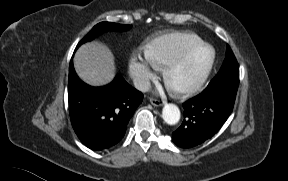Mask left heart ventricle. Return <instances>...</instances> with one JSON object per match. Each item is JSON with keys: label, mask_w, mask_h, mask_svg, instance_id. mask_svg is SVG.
<instances>
[{"label": "left heart ventricle", "mask_w": 288, "mask_h": 181, "mask_svg": "<svg viewBox=\"0 0 288 181\" xmlns=\"http://www.w3.org/2000/svg\"><path fill=\"white\" fill-rule=\"evenodd\" d=\"M210 52L205 50L194 57L177 73L175 82L183 83L190 81L197 77L209 60Z\"/></svg>", "instance_id": "obj_1"}]
</instances>
